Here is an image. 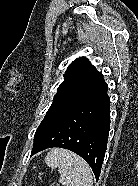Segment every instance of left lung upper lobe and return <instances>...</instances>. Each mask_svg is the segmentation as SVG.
<instances>
[{
  "label": "left lung upper lobe",
  "mask_w": 138,
  "mask_h": 186,
  "mask_svg": "<svg viewBox=\"0 0 138 186\" xmlns=\"http://www.w3.org/2000/svg\"><path fill=\"white\" fill-rule=\"evenodd\" d=\"M104 82L103 76L85 58H77L67 68L53 103L37 128L34 142L57 120Z\"/></svg>",
  "instance_id": "5c2ea615"
}]
</instances>
